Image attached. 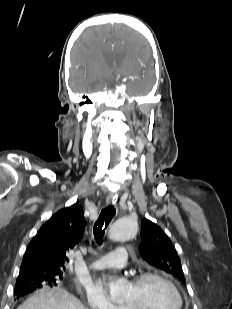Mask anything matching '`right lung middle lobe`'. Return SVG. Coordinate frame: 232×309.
<instances>
[{
    "instance_id": "right-lung-middle-lobe-1",
    "label": "right lung middle lobe",
    "mask_w": 232,
    "mask_h": 309,
    "mask_svg": "<svg viewBox=\"0 0 232 309\" xmlns=\"http://www.w3.org/2000/svg\"><path fill=\"white\" fill-rule=\"evenodd\" d=\"M64 270L20 271L15 287L38 284L40 287L57 286L63 279Z\"/></svg>"
}]
</instances>
